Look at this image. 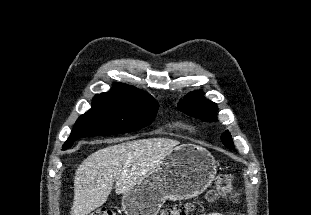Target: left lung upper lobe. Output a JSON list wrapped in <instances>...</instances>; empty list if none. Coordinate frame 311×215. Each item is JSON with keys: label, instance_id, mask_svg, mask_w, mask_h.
Returning <instances> with one entry per match:
<instances>
[{"label": "left lung upper lobe", "instance_id": "left-lung-upper-lobe-1", "mask_svg": "<svg viewBox=\"0 0 311 215\" xmlns=\"http://www.w3.org/2000/svg\"><path fill=\"white\" fill-rule=\"evenodd\" d=\"M178 108L181 111H184L194 117H199L204 121L212 122L217 120L216 104L203 97L200 91L190 93L187 97L179 102ZM221 140L227 148L234 149L231 135L228 131L222 134Z\"/></svg>", "mask_w": 311, "mask_h": 215}]
</instances>
